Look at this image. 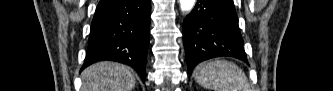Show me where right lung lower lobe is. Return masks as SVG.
I'll return each mask as SVG.
<instances>
[{
  "mask_svg": "<svg viewBox=\"0 0 333 91\" xmlns=\"http://www.w3.org/2000/svg\"><path fill=\"white\" fill-rule=\"evenodd\" d=\"M150 11V0H101L81 70L97 61L112 60L130 65L145 82Z\"/></svg>",
  "mask_w": 333,
  "mask_h": 91,
  "instance_id": "1",
  "label": "right lung lower lobe"
}]
</instances>
